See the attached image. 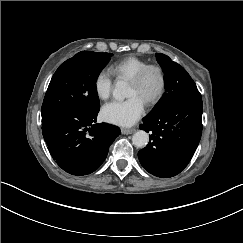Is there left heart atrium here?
Returning a JSON list of instances; mask_svg holds the SVG:
<instances>
[{
  "label": "left heart atrium",
  "instance_id": "39dd6f15",
  "mask_svg": "<svg viewBox=\"0 0 243 243\" xmlns=\"http://www.w3.org/2000/svg\"><path fill=\"white\" fill-rule=\"evenodd\" d=\"M146 103L138 96L132 95L125 100H112L101 108L104 121L115 125H131L145 112Z\"/></svg>",
  "mask_w": 243,
  "mask_h": 243
}]
</instances>
